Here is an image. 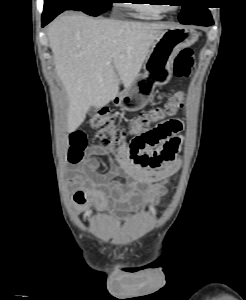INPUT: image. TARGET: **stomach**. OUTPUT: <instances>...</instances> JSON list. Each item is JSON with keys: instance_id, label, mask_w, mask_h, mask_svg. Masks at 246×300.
Masks as SVG:
<instances>
[{"instance_id": "1", "label": "stomach", "mask_w": 246, "mask_h": 300, "mask_svg": "<svg viewBox=\"0 0 246 300\" xmlns=\"http://www.w3.org/2000/svg\"><path fill=\"white\" fill-rule=\"evenodd\" d=\"M197 40L198 34L193 29L172 27L165 30L151 46L144 73L138 75L130 87L118 93L112 99L113 103L126 111L145 107L154 88L166 84L171 78V63L176 55Z\"/></svg>"}]
</instances>
